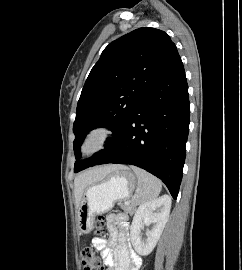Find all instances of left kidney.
Masks as SVG:
<instances>
[{
	"label": "left kidney",
	"instance_id": "obj_1",
	"mask_svg": "<svg viewBox=\"0 0 242 270\" xmlns=\"http://www.w3.org/2000/svg\"><path fill=\"white\" fill-rule=\"evenodd\" d=\"M170 209L171 198L168 195H163L138 207L130 227V238L139 255L147 256L153 251L168 221ZM151 224L152 229L146 230V239L142 240L141 230L144 225Z\"/></svg>",
	"mask_w": 242,
	"mask_h": 270
}]
</instances>
